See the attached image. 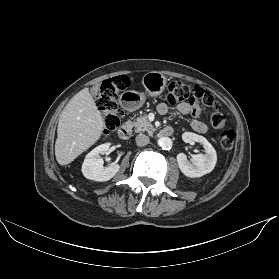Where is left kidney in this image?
Returning <instances> with one entry per match:
<instances>
[{
	"label": "left kidney",
	"mask_w": 279,
	"mask_h": 279,
	"mask_svg": "<svg viewBox=\"0 0 279 279\" xmlns=\"http://www.w3.org/2000/svg\"><path fill=\"white\" fill-rule=\"evenodd\" d=\"M182 139L186 143L198 142L202 144L206 154L193 155L191 162H189L184 153H179L177 155V162L181 172L185 176L191 178L201 177L210 173L214 169L217 162V154L213 146L205 137L192 132L183 133Z\"/></svg>",
	"instance_id": "5707ae66"
}]
</instances>
